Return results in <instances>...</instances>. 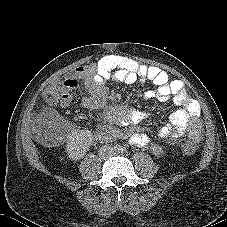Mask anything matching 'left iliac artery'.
Returning a JSON list of instances; mask_svg holds the SVG:
<instances>
[{
    "instance_id": "obj_1",
    "label": "left iliac artery",
    "mask_w": 227,
    "mask_h": 227,
    "mask_svg": "<svg viewBox=\"0 0 227 227\" xmlns=\"http://www.w3.org/2000/svg\"><path fill=\"white\" fill-rule=\"evenodd\" d=\"M119 150L121 151V153H126L127 149L125 147H120Z\"/></svg>"
}]
</instances>
